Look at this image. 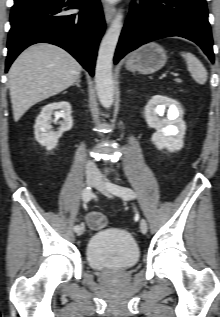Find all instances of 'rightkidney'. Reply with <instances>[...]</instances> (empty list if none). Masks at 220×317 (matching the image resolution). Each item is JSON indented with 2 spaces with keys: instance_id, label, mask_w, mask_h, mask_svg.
Here are the masks:
<instances>
[{
  "instance_id": "obj_1",
  "label": "right kidney",
  "mask_w": 220,
  "mask_h": 317,
  "mask_svg": "<svg viewBox=\"0 0 220 317\" xmlns=\"http://www.w3.org/2000/svg\"><path fill=\"white\" fill-rule=\"evenodd\" d=\"M71 105L66 101L54 102L45 105L40 115L36 118L34 125V134L37 142L45 146L47 150H52L57 146L58 139L63 132L69 131L73 126V119L71 116ZM52 115L56 119L63 118L61 127L58 131L51 130Z\"/></svg>"
}]
</instances>
